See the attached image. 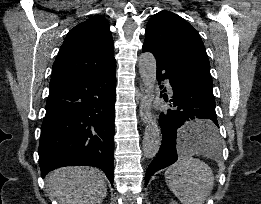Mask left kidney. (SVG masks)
<instances>
[{
	"instance_id": "5707ae66",
	"label": "left kidney",
	"mask_w": 261,
	"mask_h": 204,
	"mask_svg": "<svg viewBox=\"0 0 261 204\" xmlns=\"http://www.w3.org/2000/svg\"><path fill=\"white\" fill-rule=\"evenodd\" d=\"M169 204H178L176 201H171Z\"/></svg>"
}]
</instances>
